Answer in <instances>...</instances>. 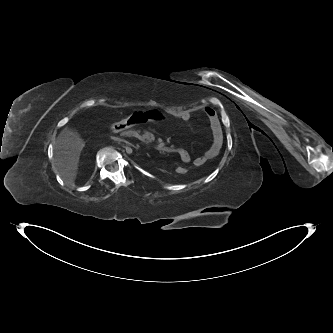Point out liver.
Returning <instances> with one entry per match:
<instances>
[{"label": "liver", "instance_id": "liver-1", "mask_svg": "<svg viewBox=\"0 0 333 333\" xmlns=\"http://www.w3.org/2000/svg\"><path fill=\"white\" fill-rule=\"evenodd\" d=\"M84 147L85 141L79 133L69 128H64L55 142L53 164L62 179L71 186H74L77 178Z\"/></svg>", "mask_w": 333, "mask_h": 333}]
</instances>
